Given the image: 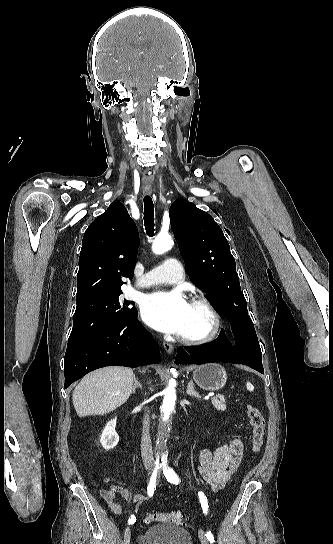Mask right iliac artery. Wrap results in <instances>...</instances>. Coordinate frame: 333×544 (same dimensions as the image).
<instances>
[{
    "instance_id": "right-iliac-artery-1",
    "label": "right iliac artery",
    "mask_w": 333,
    "mask_h": 544,
    "mask_svg": "<svg viewBox=\"0 0 333 544\" xmlns=\"http://www.w3.org/2000/svg\"><path fill=\"white\" fill-rule=\"evenodd\" d=\"M160 466L158 464L155 465L154 467V470L152 472V475L150 477V481H149V484H148V487H147V494L148 496H153L154 494V491L156 489V479H157V473H158V470H159ZM136 521V517L134 516H131L128 520V524H133L135 523Z\"/></svg>"
}]
</instances>
